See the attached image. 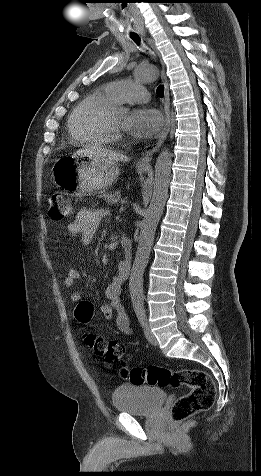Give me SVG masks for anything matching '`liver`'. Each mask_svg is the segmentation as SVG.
Listing matches in <instances>:
<instances>
[{
  "label": "liver",
  "instance_id": "6515ba94",
  "mask_svg": "<svg viewBox=\"0 0 261 476\" xmlns=\"http://www.w3.org/2000/svg\"><path fill=\"white\" fill-rule=\"evenodd\" d=\"M76 155H86L89 157H93L99 161H107L113 163H117L119 161L128 162L130 160V158L119 152L112 151L107 148H102L100 146H87L85 148L79 149L76 153H74V156Z\"/></svg>",
  "mask_w": 261,
  "mask_h": 476
}]
</instances>
